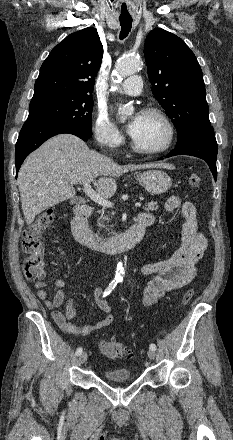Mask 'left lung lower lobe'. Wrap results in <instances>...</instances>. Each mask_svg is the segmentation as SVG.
I'll list each match as a JSON object with an SVG mask.
<instances>
[{
	"mask_svg": "<svg viewBox=\"0 0 233 440\" xmlns=\"http://www.w3.org/2000/svg\"><path fill=\"white\" fill-rule=\"evenodd\" d=\"M176 155H190L205 160L216 180L217 142L212 127L198 130L185 140L178 142L166 158Z\"/></svg>",
	"mask_w": 233,
	"mask_h": 440,
	"instance_id": "obj_1",
	"label": "left lung lower lobe"
}]
</instances>
